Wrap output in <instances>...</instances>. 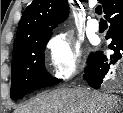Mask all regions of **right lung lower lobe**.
<instances>
[{
  "label": "right lung lower lobe",
  "mask_w": 123,
  "mask_h": 113,
  "mask_svg": "<svg viewBox=\"0 0 123 113\" xmlns=\"http://www.w3.org/2000/svg\"><path fill=\"white\" fill-rule=\"evenodd\" d=\"M105 14L111 24L106 39H112L109 48L114 54L107 57L101 52H96L89 56L83 77L89 86L95 89L100 88L110 67L120 62L123 55V0H113Z\"/></svg>",
  "instance_id": "obj_1"
}]
</instances>
